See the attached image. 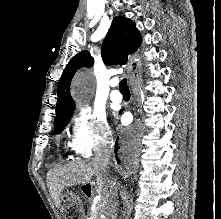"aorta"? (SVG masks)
<instances>
[{
	"label": "aorta",
	"instance_id": "762f6f07",
	"mask_svg": "<svg viewBox=\"0 0 221 219\" xmlns=\"http://www.w3.org/2000/svg\"><path fill=\"white\" fill-rule=\"evenodd\" d=\"M93 80L87 74L77 76L74 85V93L78 98L84 99L90 96L93 90Z\"/></svg>",
	"mask_w": 221,
	"mask_h": 219
}]
</instances>
